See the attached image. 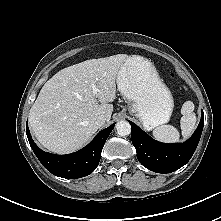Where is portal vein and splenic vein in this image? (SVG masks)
Instances as JSON below:
<instances>
[{
  "instance_id": "18ae733b",
  "label": "portal vein and splenic vein",
  "mask_w": 221,
  "mask_h": 221,
  "mask_svg": "<svg viewBox=\"0 0 221 221\" xmlns=\"http://www.w3.org/2000/svg\"><path fill=\"white\" fill-rule=\"evenodd\" d=\"M92 90L94 95H96L99 91L95 84H92Z\"/></svg>"
}]
</instances>
